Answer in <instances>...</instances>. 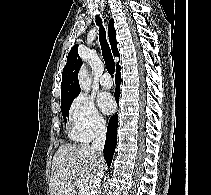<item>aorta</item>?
I'll use <instances>...</instances> for the list:
<instances>
[{
  "label": "aorta",
  "mask_w": 211,
  "mask_h": 195,
  "mask_svg": "<svg viewBox=\"0 0 211 195\" xmlns=\"http://www.w3.org/2000/svg\"><path fill=\"white\" fill-rule=\"evenodd\" d=\"M91 78L87 67L84 65L79 72V84L83 91L88 92L91 86Z\"/></svg>",
  "instance_id": "aorta-1"
}]
</instances>
